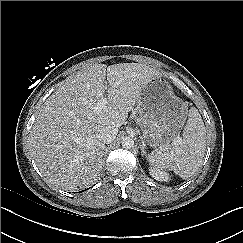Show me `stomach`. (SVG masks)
I'll return each instance as SVG.
<instances>
[{
    "label": "stomach",
    "mask_w": 243,
    "mask_h": 243,
    "mask_svg": "<svg viewBox=\"0 0 243 243\" xmlns=\"http://www.w3.org/2000/svg\"><path fill=\"white\" fill-rule=\"evenodd\" d=\"M138 111L144 140L159 148L179 136L188 104L176 96L164 77L154 76L141 90Z\"/></svg>",
    "instance_id": "0dacf381"
}]
</instances>
